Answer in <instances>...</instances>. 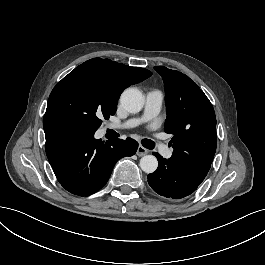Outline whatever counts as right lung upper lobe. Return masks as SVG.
I'll list each match as a JSON object with an SVG mask.
<instances>
[{
	"label": "right lung upper lobe",
	"mask_w": 265,
	"mask_h": 265,
	"mask_svg": "<svg viewBox=\"0 0 265 265\" xmlns=\"http://www.w3.org/2000/svg\"><path fill=\"white\" fill-rule=\"evenodd\" d=\"M84 63L95 65L104 72L120 94L130 85L137 84L152 75L147 69L130 67L109 59L93 58Z\"/></svg>",
	"instance_id": "right-lung-upper-lobe-1"
}]
</instances>
